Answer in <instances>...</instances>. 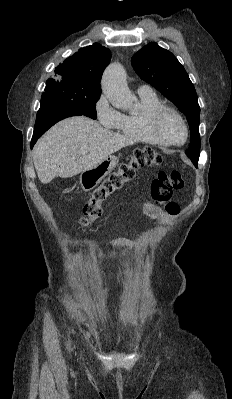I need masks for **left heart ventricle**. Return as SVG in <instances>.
<instances>
[{
	"mask_svg": "<svg viewBox=\"0 0 232 399\" xmlns=\"http://www.w3.org/2000/svg\"><path fill=\"white\" fill-rule=\"evenodd\" d=\"M164 134L176 143H182L186 138V130L182 122L173 113H167L161 120Z\"/></svg>",
	"mask_w": 232,
	"mask_h": 399,
	"instance_id": "b2bd125f",
	"label": "left heart ventricle"
}]
</instances>
